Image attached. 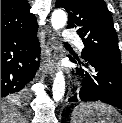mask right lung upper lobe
I'll return each instance as SVG.
<instances>
[{"label":"right lung upper lobe","instance_id":"cb5924a9","mask_svg":"<svg viewBox=\"0 0 122 123\" xmlns=\"http://www.w3.org/2000/svg\"><path fill=\"white\" fill-rule=\"evenodd\" d=\"M38 30L27 0H1V34H30Z\"/></svg>","mask_w":122,"mask_h":123}]
</instances>
